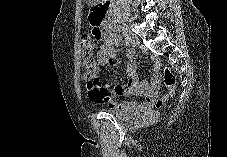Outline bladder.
<instances>
[{
  "mask_svg": "<svg viewBox=\"0 0 227 157\" xmlns=\"http://www.w3.org/2000/svg\"><path fill=\"white\" fill-rule=\"evenodd\" d=\"M105 111L117 118L124 119V120L131 119L136 115L132 111H125V110H119V109H113V108L106 109Z\"/></svg>",
  "mask_w": 227,
  "mask_h": 157,
  "instance_id": "31cf9c89",
  "label": "bladder"
}]
</instances>
